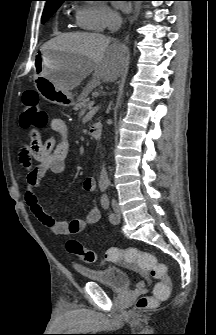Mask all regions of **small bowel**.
Listing matches in <instances>:
<instances>
[{"instance_id": "1", "label": "small bowel", "mask_w": 216, "mask_h": 335, "mask_svg": "<svg viewBox=\"0 0 216 335\" xmlns=\"http://www.w3.org/2000/svg\"><path fill=\"white\" fill-rule=\"evenodd\" d=\"M51 129L56 133L46 141L41 140V132L29 129L30 143L19 151V162L26 173L25 201L34 216L56 235H75L88 226L99 222L101 214L96 206H91L84 218L60 221L49 215L41 206L36 189L49 174H61L66 168L70 151L66 122L59 117L51 119ZM36 162L37 165H33ZM86 191L95 189V179L88 177L83 182Z\"/></svg>"}]
</instances>
